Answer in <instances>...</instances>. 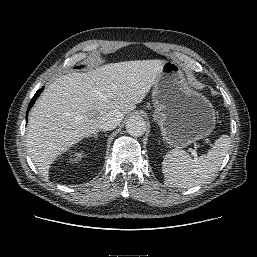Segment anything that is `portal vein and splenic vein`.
<instances>
[{
  "label": "portal vein and splenic vein",
  "instance_id": "portal-vein-and-splenic-vein-1",
  "mask_svg": "<svg viewBox=\"0 0 257 257\" xmlns=\"http://www.w3.org/2000/svg\"><path fill=\"white\" fill-rule=\"evenodd\" d=\"M190 152H191V155H192L194 158H197V153H196L195 150L191 149Z\"/></svg>",
  "mask_w": 257,
  "mask_h": 257
}]
</instances>
